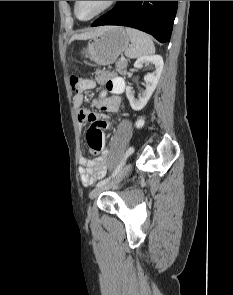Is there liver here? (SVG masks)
I'll return each instance as SVG.
<instances>
[{
    "mask_svg": "<svg viewBox=\"0 0 233 295\" xmlns=\"http://www.w3.org/2000/svg\"><path fill=\"white\" fill-rule=\"evenodd\" d=\"M105 28L106 27H99V28H96V29H94L92 31H89V32L74 35V36L71 37L70 41L90 39V38L100 34L101 32H103L105 30Z\"/></svg>",
    "mask_w": 233,
    "mask_h": 295,
    "instance_id": "liver-1",
    "label": "liver"
}]
</instances>
